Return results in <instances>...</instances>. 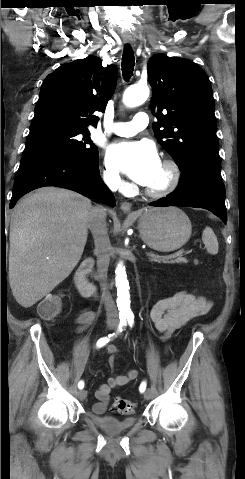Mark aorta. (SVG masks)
<instances>
[{"instance_id": "762f6f07", "label": "aorta", "mask_w": 245, "mask_h": 479, "mask_svg": "<svg viewBox=\"0 0 245 479\" xmlns=\"http://www.w3.org/2000/svg\"><path fill=\"white\" fill-rule=\"evenodd\" d=\"M149 97V88L146 85H134L126 89L123 95V102L128 107H136L144 103ZM115 283L117 287V306L120 314H131L129 282L125 267L119 263L115 270Z\"/></svg>"}]
</instances>
